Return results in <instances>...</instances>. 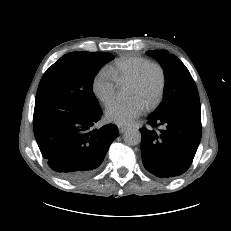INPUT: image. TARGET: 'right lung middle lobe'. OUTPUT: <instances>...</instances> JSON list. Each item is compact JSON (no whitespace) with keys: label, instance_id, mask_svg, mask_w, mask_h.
<instances>
[{"label":"right lung middle lobe","instance_id":"obj_1","mask_svg":"<svg viewBox=\"0 0 231 231\" xmlns=\"http://www.w3.org/2000/svg\"><path fill=\"white\" fill-rule=\"evenodd\" d=\"M114 59L104 52H71L47 69L38 86L35 104L89 113L100 108L92 91L98 71Z\"/></svg>","mask_w":231,"mask_h":231}]
</instances>
